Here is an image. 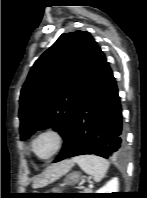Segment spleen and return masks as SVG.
Returning <instances> with one entry per match:
<instances>
[{"label":"spleen","instance_id":"obj_1","mask_svg":"<svg viewBox=\"0 0 147 198\" xmlns=\"http://www.w3.org/2000/svg\"><path fill=\"white\" fill-rule=\"evenodd\" d=\"M74 161L87 174L93 176L96 182L101 181L109 168V162L95 155H81L74 158Z\"/></svg>","mask_w":147,"mask_h":198}]
</instances>
